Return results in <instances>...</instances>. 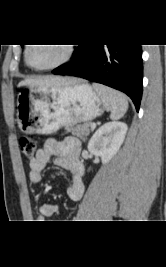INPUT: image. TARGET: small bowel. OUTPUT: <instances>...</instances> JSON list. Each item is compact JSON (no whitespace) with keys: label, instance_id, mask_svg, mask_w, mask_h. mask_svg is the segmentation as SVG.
Returning a JSON list of instances; mask_svg holds the SVG:
<instances>
[{"label":"small bowel","instance_id":"small-bowel-1","mask_svg":"<svg viewBox=\"0 0 166 267\" xmlns=\"http://www.w3.org/2000/svg\"><path fill=\"white\" fill-rule=\"evenodd\" d=\"M81 144L77 138L67 137L61 141L48 139L44 145L37 150L36 155L29 161V180L37 184L42 180V173L50 162L55 158L54 163L61 169L71 174V182L67 187V195L70 200L79 201L84 193V184L82 177L84 166L80 160ZM59 209L57 205L45 203L40 207L39 213L35 220L42 222L50 217L58 216Z\"/></svg>","mask_w":166,"mask_h":267}]
</instances>
